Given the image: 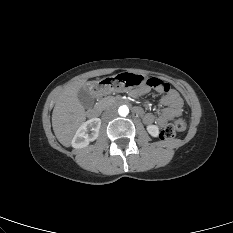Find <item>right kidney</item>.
Masks as SVG:
<instances>
[{"mask_svg":"<svg viewBox=\"0 0 233 233\" xmlns=\"http://www.w3.org/2000/svg\"><path fill=\"white\" fill-rule=\"evenodd\" d=\"M101 126L100 118H92L83 123L77 130L72 139L73 148H83L89 145L91 141L97 139Z\"/></svg>","mask_w":233,"mask_h":233,"instance_id":"1","label":"right kidney"}]
</instances>
